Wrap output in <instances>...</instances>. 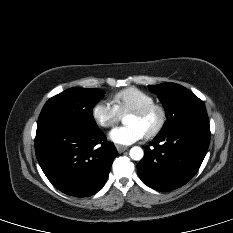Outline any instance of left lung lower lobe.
Listing matches in <instances>:
<instances>
[{
	"label": "left lung lower lobe",
	"mask_w": 233,
	"mask_h": 233,
	"mask_svg": "<svg viewBox=\"0 0 233 233\" xmlns=\"http://www.w3.org/2000/svg\"><path fill=\"white\" fill-rule=\"evenodd\" d=\"M209 142L210 125L203 122L158 134L137 166L140 179L161 192L183 186L199 170Z\"/></svg>",
	"instance_id": "obj_1"
}]
</instances>
